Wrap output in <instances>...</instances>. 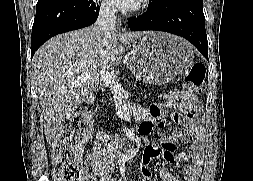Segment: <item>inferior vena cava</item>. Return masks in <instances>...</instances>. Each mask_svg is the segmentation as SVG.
Segmentation results:
<instances>
[{
    "mask_svg": "<svg viewBox=\"0 0 253 181\" xmlns=\"http://www.w3.org/2000/svg\"><path fill=\"white\" fill-rule=\"evenodd\" d=\"M116 8L110 2H103L100 5V12L98 19L95 23L97 29L107 34L109 31L115 29L116 23Z\"/></svg>",
    "mask_w": 253,
    "mask_h": 181,
    "instance_id": "obj_1",
    "label": "inferior vena cava"
}]
</instances>
